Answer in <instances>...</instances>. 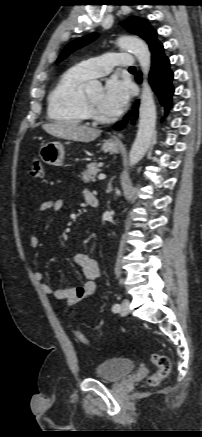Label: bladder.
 Masks as SVG:
<instances>
[{
    "label": "bladder",
    "instance_id": "1",
    "mask_svg": "<svg viewBox=\"0 0 202 437\" xmlns=\"http://www.w3.org/2000/svg\"><path fill=\"white\" fill-rule=\"evenodd\" d=\"M136 368V364L129 358H112L98 364L95 368V376L108 382H118Z\"/></svg>",
    "mask_w": 202,
    "mask_h": 437
}]
</instances>
